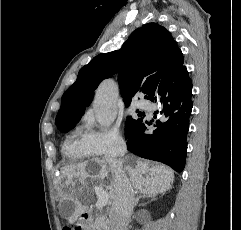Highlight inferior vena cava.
Instances as JSON below:
<instances>
[{
    "label": "inferior vena cava",
    "mask_w": 241,
    "mask_h": 230,
    "mask_svg": "<svg viewBox=\"0 0 241 230\" xmlns=\"http://www.w3.org/2000/svg\"><path fill=\"white\" fill-rule=\"evenodd\" d=\"M125 154V147L115 154L106 156L114 178V198L109 212L111 230H127L135 203V192L123 170L119 157Z\"/></svg>",
    "instance_id": "obj_1"
}]
</instances>
